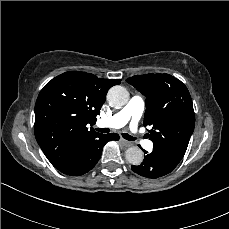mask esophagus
<instances>
[{"instance_id": "esophagus-1", "label": "esophagus", "mask_w": 229, "mask_h": 229, "mask_svg": "<svg viewBox=\"0 0 229 229\" xmlns=\"http://www.w3.org/2000/svg\"><path fill=\"white\" fill-rule=\"evenodd\" d=\"M120 142L125 146V147H129L131 146V143L126 141L125 139L123 138H120Z\"/></svg>"}]
</instances>
